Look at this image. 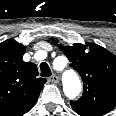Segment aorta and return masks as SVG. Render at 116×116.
<instances>
[{"label": "aorta", "instance_id": "obj_1", "mask_svg": "<svg viewBox=\"0 0 116 116\" xmlns=\"http://www.w3.org/2000/svg\"><path fill=\"white\" fill-rule=\"evenodd\" d=\"M81 82L77 74L72 70H66L63 74V89L65 95L74 99L81 92Z\"/></svg>", "mask_w": 116, "mask_h": 116}]
</instances>
